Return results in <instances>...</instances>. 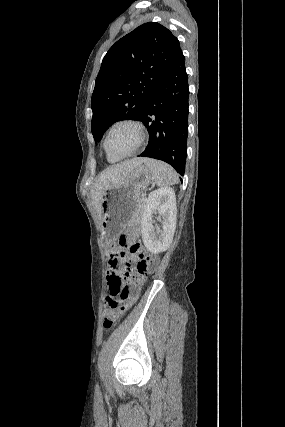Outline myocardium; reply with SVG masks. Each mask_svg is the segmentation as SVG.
I'll return each instance as SVG.
<instances>
[{
	"instance_id": "f54148a6",
	"label": "myocardium",
	"mask_w": 285,
	"mask_h": 427,
	"mask_svg": "<svg viewBox=\"0 0 285 427\" xmlns=\"http://www.w3.org/2000/svg\"><path fill=\"white\" fill-rule=\"evenodd\" d=\"M120 125H130V126H132L135 129L136 133H137V142H136L135 146L129 152L124 153V154H115L108 147V137H109L111 131L115 127L120 126ZM144 140H145V128H144L143 124L140 121L136 120V119L124 118V119H120V120L114 122L108 128V130H107V132H106V134L104 136V142H103V144H104V148H105V150H106V152L108 154H110V155H112V156H114L116 158H126V157H129V156L133 155L142 146V144L144 143Z\"/></svg>"
}]
</instances>
